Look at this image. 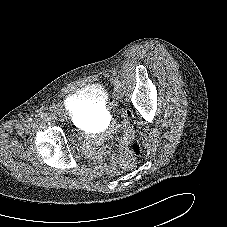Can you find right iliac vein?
<instances>
[{"mask_svg": "<svg viewBox=\"0 0 227 227\" xmlns=\"http://www.w3.org/2000/svg\"><path fill=\"white\" fill-rule=\"evenodd\" d=\"M48 118L51 119V120H55L56 119V116H55V114H50L48 116Z\"/></svg>", "mask_w": 227, "mask_h": 227, "instance_id": "right-iliac-vein-1", "label": "right iliac vein"}]
</instances>
